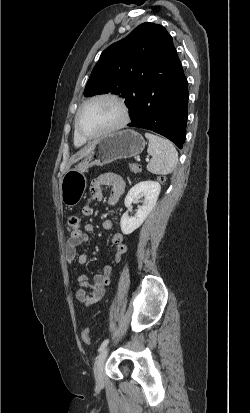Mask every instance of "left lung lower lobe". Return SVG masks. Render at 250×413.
<instances>
[{
    "instance_id": "left-lung-lower-lobe-1",
    "label": "left lung lower lobe",
    "mask_w": 250,
    "mask_h": 413,
    "mask_svg": "<svg viewBox=\"0 0 250 413\" xmlns=\"http://www.w3.org/2000/svg\"><path fill=\"white\" fill-rule=\"evenodd\" d=\"M187 79L172 47L165 69L148 77L140 86L137 98L129 105V126L159 133L180 149L185 142L188 114Z\"/></svg>"
}]
</instances>
